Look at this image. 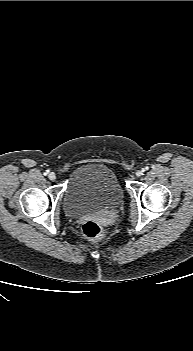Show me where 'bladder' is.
Segmentation results:
<instances>
[{"mask_svg": "<svg viewBox=\"0 0 193 351\" xmlns=\"http://www.w3.org/2000/svg\"><path fill=\"white\" fill-rule=\"evenodd\" d=\"M122 197L115 173L104 164L90 163L73 172L62 204L66 214L78 216L115 207Z\"/></svg>", "mask_w": 193, "mask_h": 351, "instance_id": "obj_1", "label": "bladder"}]
</instances>
